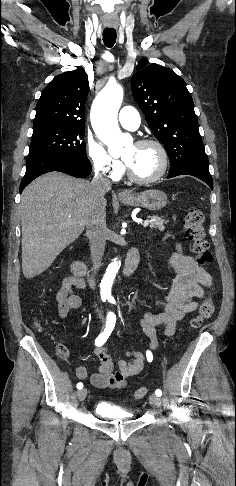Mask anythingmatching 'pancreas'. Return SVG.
Wrapping results in <instances>:
<instances>
[{
    "mask_svg": "<svg viewBox=\"0 0 236 486\" xmlns=\"http://www.w3.org/2000/svg\"><path fill=\"white\" fill-rule=\"evenodd\" d=\"M167 222L168 221L165 220L163 217H159L157 215L149 217L150 228L152 229H158L162 231L165 228L164 224H166Z\"/></svg>",
    "mask_w": 236,
    "mask_h": 486,
    "instance_id": "obj_1",
    "label": "pancreas"
}]
</instances>
